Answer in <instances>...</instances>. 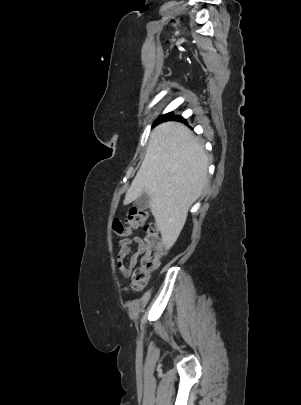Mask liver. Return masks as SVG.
<instances>
[{
    "mask_svg": "<svg viewBox=\"0 0 301 405\" xmlns=\"http://www.w3.org/2000/svg\"><path fill=\"white\" fill-rule=\"evenodd\" d=\"M208 155L191 130L179 122H165L151 133L145 158L124 205L143 192L150 196V210L162 241L169 249L177 240L191 205L208 180Z\"/></svg>",
    "mask_w": 301,
    "mask_h": 405,
    "instance_id": "obj_1",
    "label": "liver"
}]
</instances>
